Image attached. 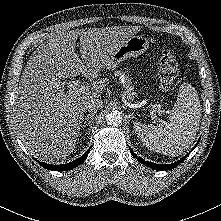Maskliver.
<instances>
[{"instance_id":"1","label":"liver","mask_w":221,"mask_h":221,"mask_svg":"<svg viewBox=\"0 0 221 221\" xmlns=\"http://www.w3.org/2000/svg\"><path fill=\"white\" fill-rule=\"evenodd\" d=\"M139 30L115 26L60 32L33 52L16 89L13 110L14 125L30 154L54 161L73 152L85 103L101 96L107 80L95 81L91 90L80 93L65 92L61 77L97 78L118 47ZM78 38L81 58L75 52Z\"/></svg>"}]
</instances>
